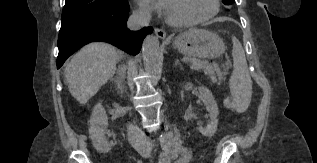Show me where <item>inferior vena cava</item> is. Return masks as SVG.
Wrapping results in <instances>:
<instances>
[{
    "label": "inferior vena cava",
    "mask_w": 317,
    "mask_h": 163,
    "mask_svg": "<svg viewBox=\"0 0 317 163\" xmlns=\"http://www.w3.org/2000/svg\"><path fill=\"white\" fill-rule=\"evenodd\" d=\"M151 19L149 12L138 11L133 12L127 21V26L130 30L136 31L148 26ZM126 67H119L120 76H124ZM127 136L130 144L143 157H149L152 151V143L139 128L129 125L127 128Z\"/></svg>",
    "instance_id": "602c4592"
}]
</instances>
